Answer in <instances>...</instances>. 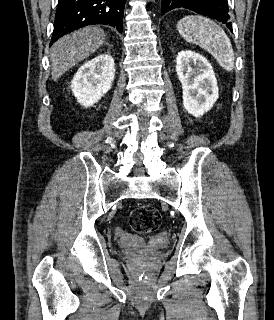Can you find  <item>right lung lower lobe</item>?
<instances>
[{"mask_svg": "<svg viewBox=\"0 0 274 320\" xmlns=\"http://www.w3.org/2000/svg\"><path fill=\"white\" fill-rule=\"evenodd\" d=\"M126 0H58L50 45L61 36L81 27L104 24L122 32Z\"/></svg>", "mask_w": 274, "mask_h": 320, "instance_id": "98d812e1", "label": "right lung lower lobe"}]
</instances>
